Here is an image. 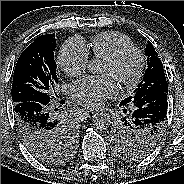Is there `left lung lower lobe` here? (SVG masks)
I'll use <instances>...</instances> for the list:
<instances>
[{
	"mask_svg": "<svg viewBox=\"0 0 184 184\" xmlns=\"http://www.w3.org/2000/svg\"><path fill=\"white\" fill-rule=\"evenodd\" d=\"M167 94L165 92H153L147 94L143 98L134 103V111L132 113V122L136 127L148 126L152 128V140L147 142H139L135 146L137 153L150 151L153 145H157L164 131V125L167 115ZM159 132V133H155Z\"/></svg>",
	"mask_w": 184,
	"mask_h": 184,
	"instance_id": "1",
	"label": "left lung lower lobe"
}]
</instances>
